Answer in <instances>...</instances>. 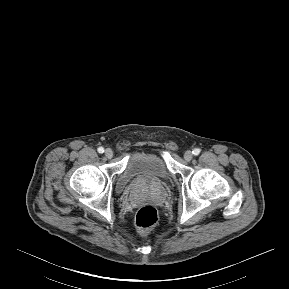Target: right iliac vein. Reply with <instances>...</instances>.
I'll return each instance as SVG.
<instances>
[{
	"mask_svg": "<svg viewBox=\"0 0 289 289\" xmlns=\"http://www.w3.org/2000/svg\"><path fill=\"white\" fill-rule=\"evenodd\" d=\"M105 156H106L108 159L112 158V157H113V151H112L111 149L107 148V149L105 150Z\"/></svg>",
	"mask_w": 289,
	"mask_h": 289,
	"instance_id": "1",
	"label": "right iliac vein"
}]
</instances>
